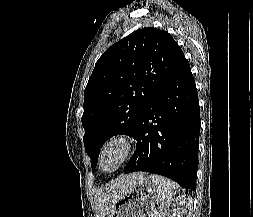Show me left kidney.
Instances as JSON below:
<instances>
[{"instance_id": "left-kidney-1", "label": "left kidney", "mask_w": 253, "mask_h": 217, "mask_svg": "<svg viewBox=\"0 0 253 217\" xmlns=\"http://www.w3.org/2000/svg\"><path fill=\"white\" fill-rule=\"evenodd\" d=\"M191 205L190 197L178 196L163 206L158 217H189Z\"/></svg>"}]
</instances>
